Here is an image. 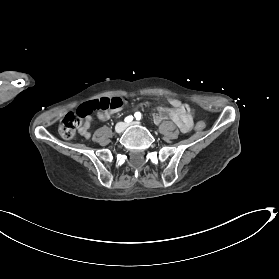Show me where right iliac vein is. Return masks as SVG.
Segmentation results:
<instances>
[{
  "mask_svg": "<svg viewBox=\"0 0 279 279\" xmlns=\"http://www.w3.org/2000/svg\"><path fill=\"white\" fill-rule=\"evenodd\" d=\"M124 129H125V124L122 122L118 123L115 127V131L117 133H122L124 131Z\"/></svg>",
  "mask_w": 279,
  "mask_h": 279,
  "instance_id": "1",
  "label": "right iliac vein"
}]
</instances>
